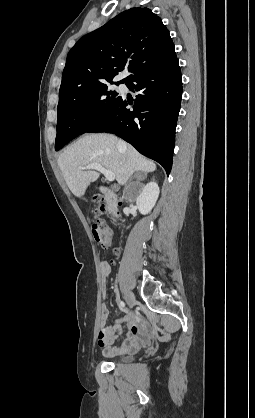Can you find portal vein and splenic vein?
Instances as JSON below:
<instances>
[{
	"label": "portal vein and splenic vein",
	"instance_id": "portal-vein-and-splenic-vein-1",
	"mask_svg": "<svg viewBox=\"0 0 255 418\" xmlns=\"http://www.w3.org/2000/svg\"><path fill=\"white\" fill-rule=\"evenodd\" d=\"M81 170H89V169H94L97 170L99 172H101L106 180L108 181H114L115 180V174L107 169H105L101 164L98 163H92V164H88L86 166H82L80 167Z\"/></svg>",
	"mask_w": 255,
	"mask_h": 418
}]
</instances>
